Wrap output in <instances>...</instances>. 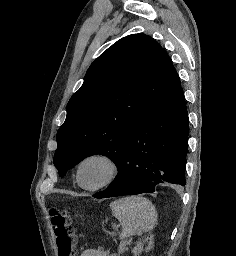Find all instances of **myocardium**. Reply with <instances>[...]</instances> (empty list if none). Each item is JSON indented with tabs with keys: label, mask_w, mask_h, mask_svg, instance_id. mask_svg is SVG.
Returning <instances> with one entry per match:
<instances>
[{
	"label": "myocardium",
	"mask_w": 236,
	"mask_h": 256,
	"mask_svg": "<svg viewBox=\"0 0 236 256\" xmlns=\"http://www.w3.org/2000/svg\"><path fill=\"white\" fill-rule=\"evenodd\" d=\"M91 159H101L104 160L109 166H110V174L109 176L102 181L99 184L93 185V186H87L85 184H83L82 180H81V168L83 166V164ZM120 164L118 162V160L110 153L108 152H92L89 153L87 155H85L84 157H82L79 162L77 163L76 166V179H77V183L86 190L89 191H96L102 188H105L107 186H109L110 184H112L117 177L120 174Z\"/></svg>",
	"instance_id": "obj_1"
}]
</instances>
